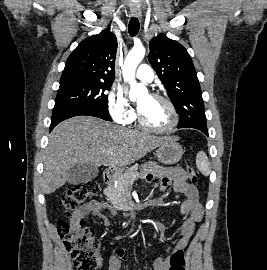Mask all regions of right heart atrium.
Instances as JSON below:
<instances>
[{
  "label": "right heart atrium",
  "mask_w": 267,
  "mask_h": 270,
  "mask_svg": "<svg viewBox=\"0 0 267 270\" xmlns=\"http://www.w3.org/2000/svg\"><path fill=\"white\" fill-rule=\"evenodd\" d=\"M108 109L111 117L120 124H129L135 118V113L127 103L122 89L115 87L108 98Z\"/></svg>",
  "instance_id": "d8ad5b80"
}]
</instances>
